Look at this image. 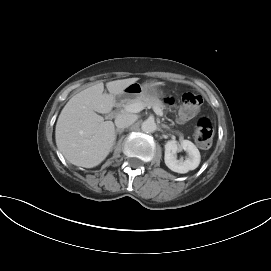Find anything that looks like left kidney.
<instances>
[{
  "mask_svg": "<svg viewBox=\"0 0 271 271\" xmlns=\"http://www.w3.org/2000/svg\"><path fill=\"white\" fill-rule=\"evenodd\" d=\"M183 149L187 152L188 157L185 160H178L176 153L179 149ZM166 166L177 173H187L190 170H194L200 163V152L197 147L189 140H183L179 146L176 141L170 140L165 144V156Z\"/></svg>",
  "mask_w": 271,
  "mask_h": 271,
  "instance_id": "obj_1",
  "label": "left kidney"
}]
</instances>
